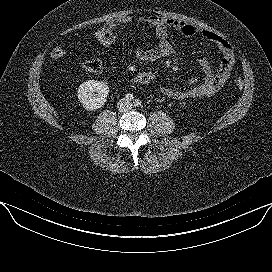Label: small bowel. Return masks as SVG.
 Instances as JSON below:
<instances>
[{
    "mask_svg": "<svg viewBox=\"0 0 272 272\" xmlns=\"http://www.w3.org/2000/svg\"><path fill=\"white\" fill-rule=\"evenodd\" d=\"M131 23L146 24L152 27L158 39L157 45L153 48H137L135 50V57L139 61L153 62L164 57H169L175 53V49L168 39V32L170 29L178 31L185 37L199 35L206 41L215 45L222 55L216 72H213L207 58L199 56L197 58V63L202 68L205 77L201 81L191 79L186 86L180 89L163 86L160 90L164 95L176 100L212 97L228 81L235 64V55L230 43L220 35L177 19L161 16H125L117 20L108 21L103 29L115 35L117 27Z\"/></svg>",
    "mask_w": 272,
    "mask_h": 272,
    "instance_id": "small-bowel-1",
    "label": "small bowel"
}]
</instances>
